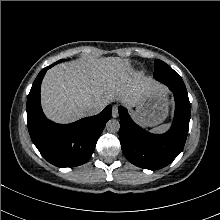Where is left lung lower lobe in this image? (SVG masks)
I'll return each instance as SVG.
<instances>
[{
	"mask_svg": "<svg viewBox=\"0 0 220 220\" xmlns=\"http://www.w3.org/2000/svg\"><path fill=\"white\" fill-rule=\"evenodd\" d=\"M169 75L176 74L170 71ZM167 85V84H165ZM175 97V116L165 134H151L136 125L123 107H119V139L125 157L134 165L157 170L170 164L183 150L189 128L190 102L185 86L167 85Z\"/></svg>",
	"mask_w": 220,
	"mask_h": 220,
	"instance_id": "obj_1",
	"label": "left lung lower lobe"
}]
</instances>
